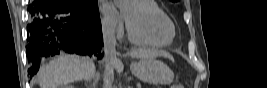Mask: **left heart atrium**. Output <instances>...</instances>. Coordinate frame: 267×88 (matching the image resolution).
Segmentation results:
<instances>
[{
    "label": "left heart atrium",
    "instance_id": "obj_1",
    "mask_svg": "<svg viewBox=\"0 0 267 88\" xmlns=\"http://www.w3.org/2000/svg\"><path fill=\"white\" fill-rule=\"evenodd\" d=\"M104 9H105L106 12H111L112 11V8L109 5H106L104 7Z\"/></svg>",
    "mask_w": 267,
    "mask_h": 88
}]
</instances>
